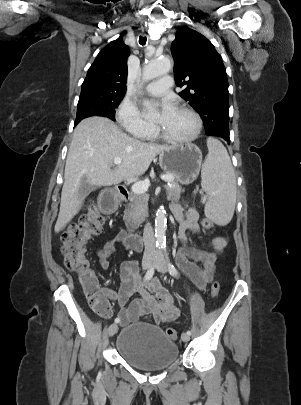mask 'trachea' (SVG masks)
Returning a JSON list of instances; mask_svg holds the SVG:
<instances>
[{
	"instance_id": "obj_1",
	"label": "trachea",
	"mask_w": 301,
	"mask_h": 405,
	"mask_svg": "<svg viewBox=\"0 0 301 405\" xmlns=\"http://www.w3.org/2000/svg\"><path fill=\"white\" fill-rule=\"evenodd\" d=\"M146 41H147V38H146V37H143V36H140V37H139V43H140L141 45H145V44H146Z\"/></svg>"
}]
</instances>
